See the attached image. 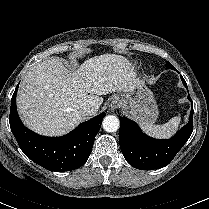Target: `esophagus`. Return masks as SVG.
Returning a JSON list of instances; mask_svg holds the SVG:
<instances>
[{
  "instance_id": "1",
  "label": "esophagus",
  "mask_w": 209,
  "mask_h": 209,
  "mask_svg": "<svg viewBox=\"0 0 209 209\" xmlns=\"http://www.w3.org/2000/svg\"><path fill=\"white\" fill-rule=\"evenodd\" d=\"M121 106H122V102L119 97H115L114 99H112V101L109 105L111 111H114V110L120 108Z\"/></svg>"
}]
</instances>
